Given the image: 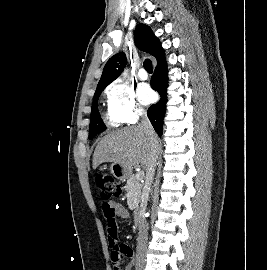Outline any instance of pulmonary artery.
Instances as JSON below:
<instances>
[{
	"label": "pulmonary artery",
	"instance_id": "obj_1",
	"mask_svg": "<svg viewBox=\"0 0 267 270\" xmlns=\"http://www.w3.org/2000/svg\"><path fill=\"white\" fill-rule=\"evenodd\" d=\"M138 77H139L140 80H146L148 78V74H147V72L145 71L144 68H141L138 71Z\"/></svg>",
	"mask_w": 267,
	"mask_h": 270
}]
</instances>
